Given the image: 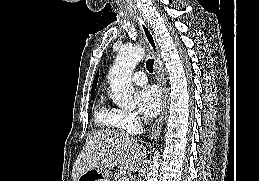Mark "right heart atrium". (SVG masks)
<instances>
[{
  "label": "right heart atrium",
  "mask_w": 259,
  "mask_h": 181,
  "mask_svg": "<svg viewBox=\"0 0 259 181\" xmlns=\"http://www.w3.org/2000/svg\"><path fill=\"white\" fill-rule=\"evenodd\" d=\"M123 128L129 132H136L141 126V118L135 112L118 110Z\"/></svg>",
  "instance_id": "1"
}]
</instances>
